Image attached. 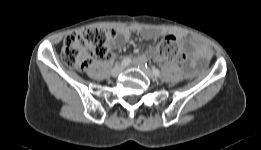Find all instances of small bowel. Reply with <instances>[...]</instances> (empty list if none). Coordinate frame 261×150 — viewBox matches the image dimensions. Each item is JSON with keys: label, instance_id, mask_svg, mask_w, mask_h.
Segmentation results:
<instances>
[{"label": "small bowel", "instance_id": "1", "mask_svg": "<svg viewBox=\"0 0 261 150\" xmlns=\"http://www.w3.org/2000/svg\"><path fill=\"white\" fill-rule=\"evenodd\" d=\"M132 30L138 32L144 39H152L157 36V32L148 28H130L120 27L116 30L115 36L112 41L114 48H121L124 42L129 41ZM185 49L190 50L193 53L191 62L186 66L185 70L188 75H193L199 69L205 66L206 62L211 56L209 49L202 44L197 43H183ZM105 58L108 61H113L116 58L115 51H106ZM148 59L147 54H142L135 59L138 63H144Z\"/></svg>", "mask_w": 261, "mask_h": 150}]
</instances>
